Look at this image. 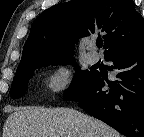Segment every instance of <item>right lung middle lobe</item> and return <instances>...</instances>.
Returning a JSON list of instances; mask_svg holds the SVG:
<instances>
[{
  "mask_svg": "<svg viewBox=\"0 0 144 137\" xmlns=\"http://www.w3.org/2000/svg\"><path fill=\"white\" fill-rule=\"evenodd\" d=\"M52 63L54 65H57L59 63H71L76 66L72 56L56 59H37L24 65H20L17 68L10 89L11 97L19 98L23 96L27 89L28 80L32 77L34 70L40 66H48ZM96 73V70H80L79 66H76V77L69 86V88L65 91L64 100L74 101L75 99L80 97L84 93L86 87L92 81Z\"/></svg>",
  "mask_w": 144,
  "mask_h": 137,
  "instance_id": "dd1d6c3e",
  "label": "right lung middle lobe"
}]
</instances>
